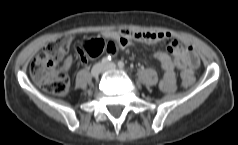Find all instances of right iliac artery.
<instances>
[{
	"label": "right iliac artery",
	"instance_id": "82829eb1",
	"mask_svg": "<svg viewBox=\"0 0 238 145\" xmlns=\"http://www.w3.org/2000/svg\"><path fill=\"white\" fill-rule=\"evenodd\" d=\"M110 61H111V57H110V56H106V57H104V58L102 59V63H103L104 65L109 64Z\"/></svg>",
	"mask_w": 238,
	"mask_h": 145
}]
</instances>
